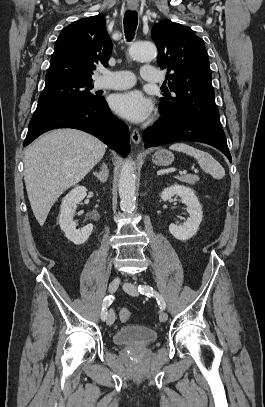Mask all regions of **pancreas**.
<instances>
[{
	"label": "pancreas",
	"instance_id": "cf45deb5",
	"mask_svg": "<svg viewBox=\"0 0 265 407\" xmlns=\"http://www.w3.org/2000/svg\"><path fill=\"white\" fill-rule=\"evenodd\" d=\"M177 179L180 180L181 182H185V183L194 185L196 183V181L199 180V177L197 175L188 174L185 176L178 177Z\"/></svg>",
	"mask_w": 265,
	"mask_h": 407
}]
</instances>
